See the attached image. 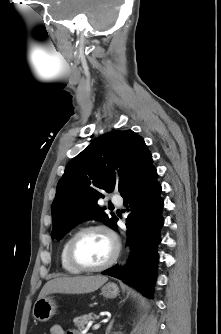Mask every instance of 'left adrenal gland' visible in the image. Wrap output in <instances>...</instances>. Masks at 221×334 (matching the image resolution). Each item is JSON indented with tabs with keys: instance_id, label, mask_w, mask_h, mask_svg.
Listing matches in <instances>:
<instances>
[{
	"instance_id": "obj_1",
	"label": "left adrenal gland",
	"mask_w": 221,
	"mask_h": 334,
	"mask_svg": "<svg viewBox=\"0 0 221 334\" xmlns=\"http://www.w3.org/2000/svg\"><path fill=\"white\" fill-rule=\"evenodd\" d=\"M113 322H114V320H112V321L109 323V325H108V327H107V329H106V334H109V333H110V331H111V329H112Z\"/></svg>"
}]
</instances>
